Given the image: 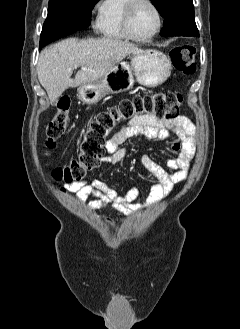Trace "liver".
<instances>
[{
  "label": "liver",
  "mask_w": 240,
  "mask_h": 329,
  "mask_svg": "<svg viewBox=\"0 0 240 329\" xmlns=\"http://www.w3.org/2000/svg\"><path fill=\"white\" fill-rule=\"evenodd\" d=\"M141 51L134 44L118 39L68 38L40 53L38 79L49 99L56 102L66 89L97 81L127 55ZM78 67L87 70L78 71L72 79L73 70Z\"/></svg>",
  "instance_id": "1"
}]
</instances>
